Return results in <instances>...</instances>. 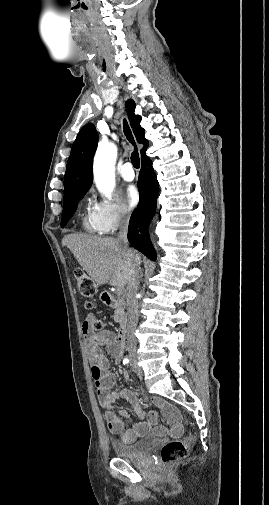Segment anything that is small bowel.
I'll return each instance as SVG.
<instances>
[{"instance_id": "1", "label": "small bowel", "mask_w": 269, "mask_h": 505, "mask_svg": "<svg viewBox=\"0 0 269 505\" xmlns=\"http://www.w3.org/2000/svg\"><path fill=\"white\" fill-rule=\"evenodd\" d=\"M88 322L89 320L87 319L82 323V334L88 343L91 375L110 432L120 436L121 440L124 442H133L149 432L172 437L181 436L183 433L181 415L177 408L166 400L160 397H153L151 403L163 412L170 428H165L157 424V415L154 411L146 415L140 405L138 397L130 390L121 389L113 391L115 375L109 370V361L103 350L106 349L116 362H120L123 348L112 332H90L87 328ZM117 398H124L129 402L137 416L141 419L139 423H136L131 428H126L127 413L122 410L117 414L112 409V404Z\"/></svg>"}]
</instances>
